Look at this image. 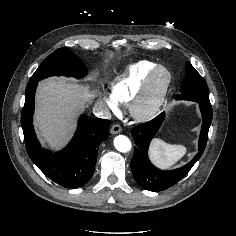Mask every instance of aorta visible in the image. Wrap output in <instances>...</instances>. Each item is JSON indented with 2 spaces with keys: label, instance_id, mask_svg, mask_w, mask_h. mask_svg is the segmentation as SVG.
<instances>
[{
  "label": "aorta",
  "instance_id": "aorta-1",
  "mask_svg": "<svg viewBox=\"0 0 236 236\" xmlns=\"http://www.w3.org/2000/svg\"><path fill=\"white\" fill-rule=\"evenodd\" d=\"M114 146L119 152H128L131 150V141L124 135H118L114 139Z\"/></svg>",
  "mask_w": 236,
  "mask_h": 236
}]
</instances>
